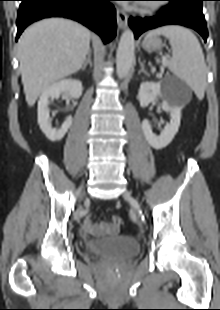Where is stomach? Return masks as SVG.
<instances>
[{
  "label": "stomach",
  "mask_w": 220,
  "mask_h": 310,
  "mask_svg": "<svg viewBox=\"0 0 220 310\" xmlns=\"http://www.w3.org/2000/svg\"><path fill=\"white\" fill-rule=\"evenodd\" d=\"M142 45L146 51L152 52L161 49L164 44L158 36H153L150 38L146 37Z\"/></svg>",
  "instance_id": "1"
}]
</instances>
